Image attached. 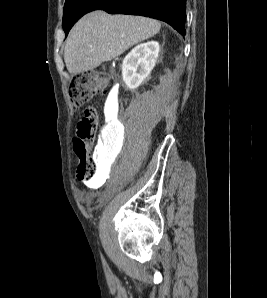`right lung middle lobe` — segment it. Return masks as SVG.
<instances>
[{
    "mask_svg": "<svg viewBox=\"0 0 267 298\" xmlns=\"http://www.w3.org/2000/svg\"><path fill=\"white\" fill-rule=\"evenodd\" d=\"M98 0H66L63 12V29L67 35L71 27L86 13L90 12Z\"/></svg>",
    "mask_w": 267,
    "mask_h": 298,
    "instance_id": "right-lung-middle-lobe-1",
    "label": "right lung middle lobe"
}]
</instances>
